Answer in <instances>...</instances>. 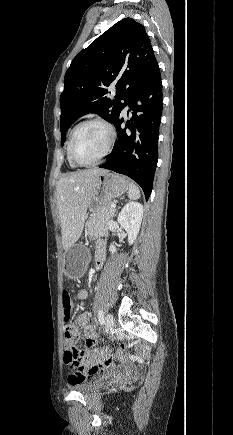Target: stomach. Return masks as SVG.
<instances>
[{
    "mask_svg": "<svg viewBox=\"0 0 233 435\" xmlns=\"http://www.w3.org/2000/svg\"><path fill=\"white\" fill-rule=\"evenodd\" d=\"M129 188L126 178L106 171L97 177L95 190L89 203V211L93 214L102 206L110 203L114 198L124 194ZM89 252L85 246L72 245L63 253L64 273L70 279L81 278L86 271Z\"/></svg>",
    "mask_w": 233,
    "mask_h": 435,
    "instance_id": "stomach-1",
    "label": "stomach"
}]
</instances>
